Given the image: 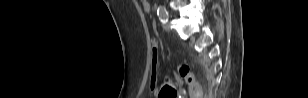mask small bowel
I'll return each instance as SVG.
<instances>
[{
    "label": "small bowel",
    "mask_w": 308,
    "mask_h": 98,
    "mask_svg": "<svg viewBox=\"0 0 308 98\" xmlns=\"http://www.w3.org/2000/svg\"><path fill=\"white\" fill-rule=\"evenodd\" d=\"M141 5L144 12L149 13L151 10V5L148 0H141ZM166 82V81H165Z\"/></svg>",
    "instance_id": "small-bowel-1"
}]
</instances>
